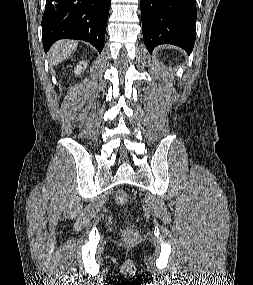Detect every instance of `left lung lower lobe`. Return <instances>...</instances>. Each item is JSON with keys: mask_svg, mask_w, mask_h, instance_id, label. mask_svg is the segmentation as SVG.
<instances>
[{"mask_svg": "<svg viewBox=\"0 0 253 285\" xmlns=\"http://www.w3.org/2000/svg\"><path fill=\"white\" fill-rule=\"evenodd\" d=\"M144 43L151 53L160 44H172L188 53L196 33V0H140Z\"/></svg>", "mask_w": 253, "mask_h": 285, "instance_id": "1", "label": "left lung lower lobe"}]
</instances>
